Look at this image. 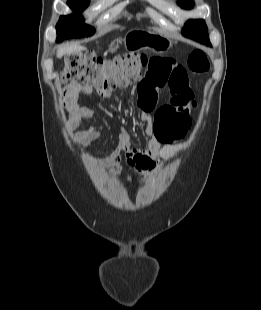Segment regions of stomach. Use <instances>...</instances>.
<instances>
[{"label": "stomach", "instance_id": "1", "mask_svg": "<svg viewBox=\"0 0 261 310\" xmlns=\"http://www.w3.org/2000/svg\"><path fill=\"white\" fill-rule=\"evenodd\" d=\"M125 43L130 50L148 49L156 53H165L172 47V41L152 31L135 30L127 34ZM118 46L111 44L110 52H115Z\"/></svg>", "mask_w": 261, "mask_h": 310}]
</instances>
